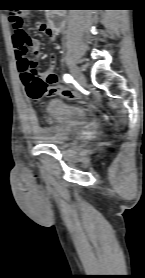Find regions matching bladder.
Masks as SVG:
<instances>
[{
  "label": "bladder",
  "instance_id": "1",
  "mask_svg": "<svg viewBox=\"0 0 145 278\" xmlns=\"http://www.w3.org/2000/svg\"><path fill=\"white\" fill-rule=\"evenodd\" d=\"M46 112L48 126L41 130L37 139L52 144L68 141L78 127L89 121V113L83 106L57 98L48 103Z\"/></svg>",
  "mask_w": 145,
  "mask_h": 278
}]
</instances>
